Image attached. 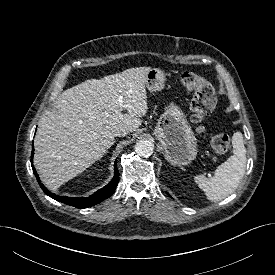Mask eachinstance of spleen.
Wrapping results in <instances>:
<instances>
[{
	"instance_id": "1",
	"label": "spleen",
	"mask_w": 275,
	"mask_h": 275,
	"mask_svg": "<svg viewBox=\"0 0 275 275\" xmlns=\"http://www.w3.org/2000/svg\"><path fill=\"white\" fill-rule=\"evenodd\" d=\"M232 145L233 155L216 168L212 178H206L202 175L194 177L195 182L205 192L208 200L212 202L221 201L232 194L244 176L246 148L241 132L233 134Z\"/></svg>"
}]
</instances>
